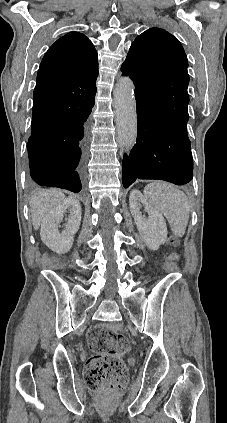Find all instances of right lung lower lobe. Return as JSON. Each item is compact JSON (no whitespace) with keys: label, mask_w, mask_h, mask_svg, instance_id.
<instances>
[{"label":"right lung lower lobe","mask_w":227,"mask_h":423,"mask_svg":"<svg viewBox=\"0 0 227 423\" xmlns=\"http://www.w3.org/2000/svg\"><path fill=\"white\" fill-rule=\"evenodd\" d=\"M95 96H78L65 101L34 99L32 126L49 124L28 144L30 175L44 187H58L78 193L87 156V119Z\"/></svg>","instance_id":"right-lung-lower-lobe-1"}]
</instances>
